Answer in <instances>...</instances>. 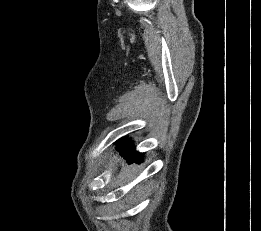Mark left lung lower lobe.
I'll return each instance as SVG.
<instances>
[{"label":"left lung lower lobe","instance_id":"0a47b994","mask_svg":"<svg viewBox=\"0 0 261 231\" xmlns=\"http://www.w3.org/2000/svg\"><path fill=\"white\" fill-rule=\"evenodd\" d=\"M117 150H121L122 155H128V159L131 162H140L143 160L144 153L135 152L133 144L130 141H123L117 144Z\"/></svg>","mask_w":261,"mask_h":231}]
</instances>
